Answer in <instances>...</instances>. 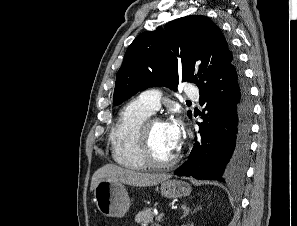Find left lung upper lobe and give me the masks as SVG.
I'll return each mask as SVG.
<instances>
[{"mask_svg":"<svg viewBox=\"0 0 297 226\" xmlns=\"http://www.w3.org/2000/svg\"><path fill=\"white\" fill-rule=\"evenodd\" d=\"M238 73L236 57L218 26L206 16H186L134 39L116 76L113 102L118 105L148 87L176 90L179 81H190L201 88Z\"/></svg>","mask_w":297,"mask_h":226,"instance_id":"1","label":"left lung upper lobe"}]
</instances>
